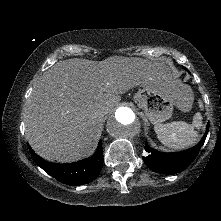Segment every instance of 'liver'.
I'll return each mask as SVG.
<instances>
[{"label": "liver", "instance_id": "1", "mask_svg": "<svg viewBox=\"0 0 221 221\" xmlns=\"http://www.w3.org/2000/svg\"><path fill=\"white\" fill-rule=\"evenodd\" d=\"M170 79L165 64L139 58L59 61L42 74L26 102V139L45 160L77 161L96 146L98 110L110 112L133 87L163 86Z\"/></svg>", "mask_w": 221, "mask_h": 221}]
</instances>
